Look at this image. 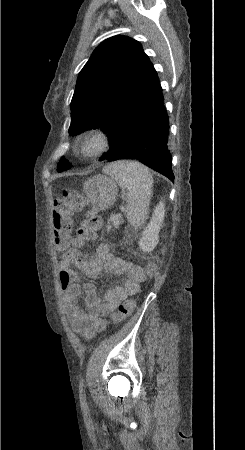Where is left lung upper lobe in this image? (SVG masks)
Segmentation results:
<instances>
[{"label": "left lung upper lobe", "mask_w": 245, "mask_h": 450, "mask_svg": "<svg viewBox=\"0 0 245 450\" xmlns=\"http://www.w3.org/2000/svg\"><path fill=\"white\" fill-rule=\"evenodd\" d=\"M161 90L156 70L139 42L126 36L108 38L79 73L69 133L99 125L108 134L107 154L119 152ZM68 168L69 162L62 157L57 170Z\"/></svg>", "instance_id": "5c2ea615"}]
</instances>
